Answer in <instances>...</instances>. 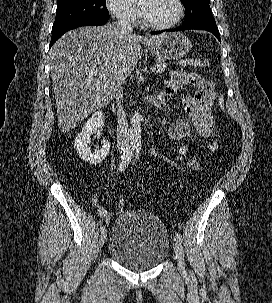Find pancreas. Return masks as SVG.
<instances>
[{"instance_id": "obj_1", "label": "pancreas", "mask_w": 272, "mask_h": 303, "mask_svg": "<svg viewBox=\"0 0 272 303\" xmlns=\"http://www.w3.org/2000/svg\"><path fill=\"white\" fill-rule=\"evenodd\" d=\"M166 67H167V63L165 62V60H163V59H158L157 60L155 68L157 69L158 73L164 72Z\"/></svg>"}]
</instances>
